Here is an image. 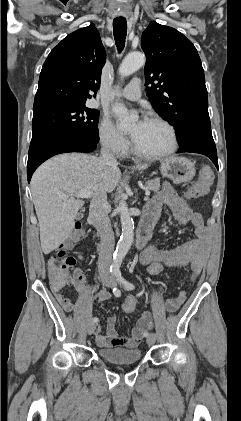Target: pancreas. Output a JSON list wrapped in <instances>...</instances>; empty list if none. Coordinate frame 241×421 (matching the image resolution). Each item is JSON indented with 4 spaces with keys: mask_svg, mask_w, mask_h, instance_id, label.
Here are the masks:
<instances>
[{
    "mask_svg": "<svg viewBox=\"0 0 241 421\" xmlns=\"http://www.w3.org/2000/svg\"><path fill=\"white\" fill-rule=\"evenodd\" d=\"M145 186L149 190L157 193L159 191V189H160V179L159 178H156V179H153V180H148L146 182Z\"/></svg>",
    "mask_w": 241,
    "mask_h": 421,
    "instance_id": "pancreas-1",
    "label": "pancreas"
}]
</instances>
